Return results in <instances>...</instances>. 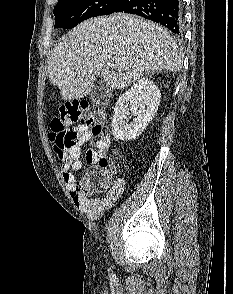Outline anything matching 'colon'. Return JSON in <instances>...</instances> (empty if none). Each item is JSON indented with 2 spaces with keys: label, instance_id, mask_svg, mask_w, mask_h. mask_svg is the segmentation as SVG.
Returning <instances> with one entry per match:
<instances>
[{
  "label": "colon",
  "instance_id": "obj_1",
  "mask_svg": "<svg viewBox=\"0 0 233 294\" xmlns=\"http://www.w3.org/2000/svg\"><path fill=\"white\" fill-rule=\"evenodd\" d=\"M90 127L94 135L102 130L101 123L92 114L84 102H68L61 106L59 112L51 121L50 140L60 160H63L69 149L75 143L72 126ZM97 166L88 171L78 182L77 190L85 196H92L109 187L112 165L108 158L100 157Z\"/></svg>",
  "mask_w": 233,
  "mask_h": 294
}]
</instances>
